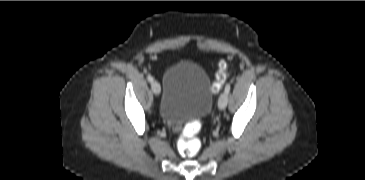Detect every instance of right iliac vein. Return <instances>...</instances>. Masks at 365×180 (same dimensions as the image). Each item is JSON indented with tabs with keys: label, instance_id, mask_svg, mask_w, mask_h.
Wrapping results in <instances>:
<instances>
[{
	"label": "right iliac vein",
	"instance_id": "63e3f726",
	"mask_svg": "<svg viewBox=\"0 0 365 180\" xmlns=\"http://www.w3.org/2000/svg\"><path fill=\"white\" fill-rule=\"evenodd\" d=\"M152 90L155 95H159L161 92V87L157 81H153L151 84Z\"/></svg>",
	"mask_w": 365,
	"mask_h": 180
}]
</instances>
